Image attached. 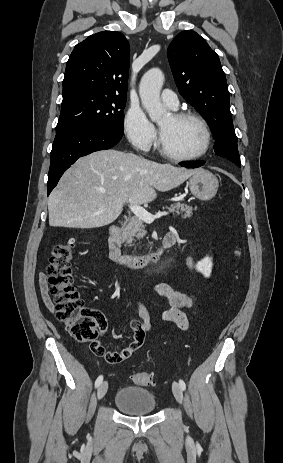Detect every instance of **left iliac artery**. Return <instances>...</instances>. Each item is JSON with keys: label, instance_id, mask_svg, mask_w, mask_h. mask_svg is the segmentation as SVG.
<instances>
[{"label": "left iliac artery", "instance_id": "obj_1", "mask_svg": "<svg viewBox=\"0 0 283 463\" xmlns=\"http://www.w3.org/2000/svg\"><path fill=\"white\" fill-rule=\"evenodd\" d=\"M179 385L182 388V390L186 389V384H185V382L183 380H179Z\"/></svg>", "mask_w": 283, "mask_h": 463}]
</instances>
